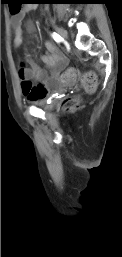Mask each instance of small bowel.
<instances>
[{"mask_svg":"<svg viewBox=\"0 0 122 257\" xmlns=\"http://www.w3.org/2000/svg\"><path fill=\"white\" fill-rule=\"evenodd\" d=\"M36 9L35 5H26L23 10L18 11L12 17L13 44L19 47L23 41V26H26L30 34H34L33 24L25 20L27 14ZM46 53L41 56V61L50 68V73L40 68L32 59H29V66L21 65L18 68V75L21 80L23 95L30 101L46 98L50 88L55 86L67 65L66 56L51 41L45 42ZM36 82V83H34Z\"/></svg>","mask_w":122,"mask_h":257,"instance_id":"1","label":"small bowel"}]
</instances>
